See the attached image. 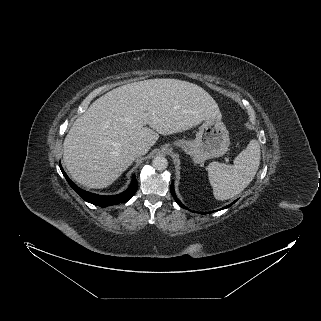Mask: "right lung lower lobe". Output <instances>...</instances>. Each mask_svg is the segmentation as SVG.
<instances>
[{
    "mask_svg": "<svg viewBox=\"0 0 321 321\" xmlns=\"http://www.w3.org/2000/svg\"><path fill=\"white\" fill-rule=\"evenodd\" d=\"M60 169L65 176L67 182L69 185L87 202L92 203L94 205L100 206V207H107L111 205H116L120 203L127 202L129 199L132 198V196L135 194L137 191V180L135 175L132 177V182L130 186L127 188L126 191L123 193L117 194V195H112V196H103V195H98L94 193L87 192L81 188H79L77 185H75L67 176V174L64 172L61 164H60Z\"/></svg>",
    "mask_w": 321,
    "mask_h": 321,
    "instance_id": "98d812e1",
    "label": "right lung lower lobe"
}]
</instances>
